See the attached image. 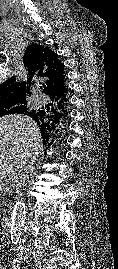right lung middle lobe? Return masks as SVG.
<instances>
[{"mask_svg":"<svg viewBox=\"0 0 118 269\" xmlns=\"http://www.w3.org/2000/svg\"><path fill=\"white\" fill-rule=\"evenodd\" d=\"M26 108V103H18V104H12V105H4L0 106V117L9 115V114H15L20 113Z\"/></svg>","mask_w":118,"mask_h":269,"instance_id":"dd1d6c3e","label":"right lung middle lobe"}]
</instances>
